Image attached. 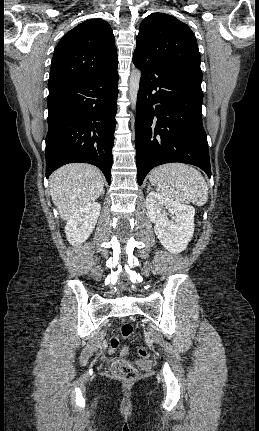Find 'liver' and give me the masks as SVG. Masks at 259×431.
<instances>
[{"label": "liver", "instance_id": "6515ba94", "mask_svg": "<svg viewBox=\"0 0 259 431\" xmlns=\"http://www.w3.org/2000/svg\"><path fill=\"white\" fill-rule=\"evenodd\" d=\"M103 188V174L89 164H68L57 169L50 177L51 197L63 220L93 203Z\"/></svg>", "mask_w": 259, "mask_h": 431}]
</instances>
